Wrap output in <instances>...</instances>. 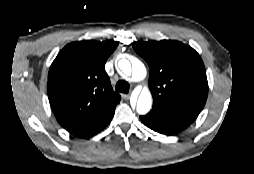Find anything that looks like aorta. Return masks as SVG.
Returning a JSON list of instances; mask_svg holds the SVG:
<instances>
[{
    "label": "aorta",
    "mask_w": 254,
    "mask_h": 174,
    "mask_svg": "<svg viewBox=\"0 0 254 174\" xmlns=\"http://www.w3.org/2000/svg\"><path fill=\"white\" fill-rule=\"evenodd\" d=\"M118 67L120 68V70L124 75L131 77V79L134 81L143 80L147 74L144 64L138 59H135L132 62V65L129 60L121 59L118 62ZM151 107H152L151 92L149 91L148 88H144L138 97L136 110L139 114L144 115L150 111Z\"/></svg>",
    "instance_id": "aorta-1"
}]
</instances>
